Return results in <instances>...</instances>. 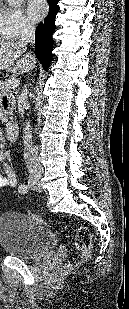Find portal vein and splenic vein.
Instances as JSON below:
<instances>
[{
	"label": "portal vein and splenic vein",
	"instance_id": "1",
	"mask_svg": "<svg viewBox=\"0 0 129 309\" xmlns=\"http://www.w3.org/2000/svg\"><path fill=\"white\" fill-rule=\"evenodd\" d=\"M18 85H19V81L15 77H12L6 81V87H9L10 89L16 88Z\"/></svg>",
	"mask_w": 129,
	"mask_h": 309
}]
</instances>
